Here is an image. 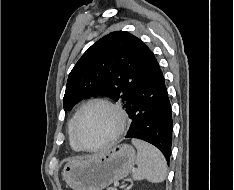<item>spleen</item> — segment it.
<instances>
[{
	"instance_id": "1",
	"label": "spleen",
	"mask_w": 234,
	"mask_h": 190,
	"mask_svg": "<svg viewBox=\"0 0 234 190\" xmlns=\"http://www.w3.org/2000/svg\"><path fill=\"white\" fill-rule=\"evenodd\" d=\"M132 144L138 152V168L133 171V179H146L152 183L164 181L167 175V163L163 154L153 145L139 139H132Z\"/></svg>"
}]
</instances>
